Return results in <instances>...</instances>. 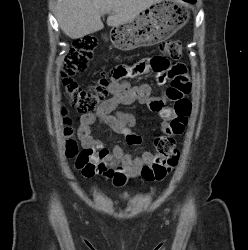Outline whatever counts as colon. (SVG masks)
<instances>
[{
  "mask_svg": "<svg viewBox=\"0 0 248 250\" xmlns=\"http://www.w3.org/2000/svg\"><path fill=\"white\" fill-rule=\"evenodd\" d=\"M97 42L93 37H86L74 42L69 53L66 55L62 65V84L65 88L67 97L70 103L80 112L92 113L96 111L108 92L110 78L107 73H102L94 85L89 88H84L79 85L73 76L84 71L90 60L93 57ZM160 50L166 58H155L153 63L158 70L157 80L164 82L166 77L161 75V64L167 59H179L182 57V44L178 40H166L160 43ZM170 100L175 101L180 98L179 94L170 86L167 91ZM156 107H161L160 103L155 104ZM69 123V120H66ZM65 134L69 137L66 143V155L69 158H76V166L78 168H87L90 171H97L94 165L96 158L95 153L90 149L79 150L77 142L71 138L72 130L67 127ZM155 149L157 159L152 166H147L143 169V174L150 180L163 179L169 169L177 166L180 151L177 148L175 141L170 136H162L156 139Z\"/></svg>",
  "mask_w": 248,
  "mask_h": 250,
  "instance_id": "obj_1",
  "label": "colon"
}]
</instances>
